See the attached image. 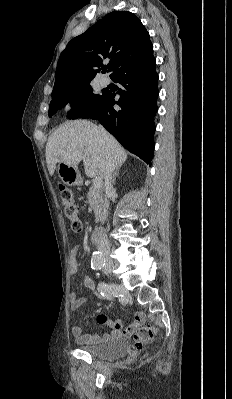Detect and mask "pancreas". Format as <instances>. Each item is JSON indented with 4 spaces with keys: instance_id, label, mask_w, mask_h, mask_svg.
I'll list each match as a JSON object with an SVG mask.
<instances>
[{
    "instance_id": "1",
    "label": "pancreas",
    "mask_w": 232,
    "mask_h": 399,
    "mask_svg": "<svg viewBox=\"0 0 232 399\" xmlns=\"http://www.w3.org/2000/svg\"><path fill=\"white\" fill-rule=\"evenodd\" d=\"M89 205L93 207L95 213V221H105L107 217V209L109 207L108 200H106L104 194H102V190H98V188H90L88 194Z\"/></svg>"
}]
</instances>
